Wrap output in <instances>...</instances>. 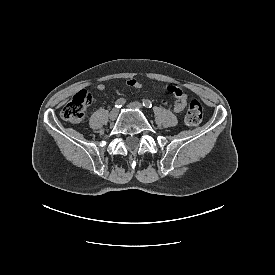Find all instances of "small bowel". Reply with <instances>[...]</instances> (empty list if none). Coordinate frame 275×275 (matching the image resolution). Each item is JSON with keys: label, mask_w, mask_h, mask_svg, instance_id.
Wrapping results in <instances>:
<instances>
[{"label": "small bowel", "mask_w": 275, "mask_h": 275, "mask_svg": "<svg viewBox=\"0 0 275 275\" xmlns=\"http://www.w3.org/2000/svg\"><path fill=\"white\" fill-rule=\"evenodd\" d=\"M127 86L139 89L142 87V83L135 79L130 78L126 81ZM97 90L102 91L105 89L103 84L97 85ZM167 90L175 97V101L173 104L168 103L167 101H163V104L172 107L175 112H181L185 109L188 103V95L177 86H167ZM123 99V97L121 98ZM124 100V99H123Z\"/></svg>", "instance_id": "c3829d8e"}]
</instances>
